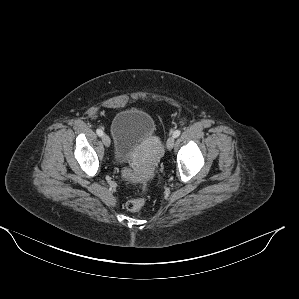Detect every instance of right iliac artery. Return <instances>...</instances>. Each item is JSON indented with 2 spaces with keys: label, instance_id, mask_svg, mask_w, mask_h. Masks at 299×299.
Masks as SVG:
<instances>
[{
  "label": "right iliac artery",
  "instance_id": "right-iliac-artery-1",
  "mask_svg": "<svg viewBox=\"0 0 299 299\" xmlns=\"http://www.w3.org/2000/svg\"><path fill=\"white\" fill-rule=\"evenodd\" d=\"M98 136H102L103 135V131L101 129H97L96 131Z\"/></svg>",
  "mask_w": 299,
  "mask_h": 299
}]
</instances>
